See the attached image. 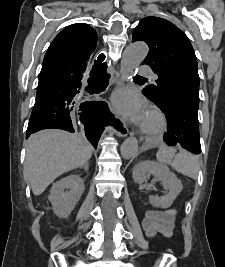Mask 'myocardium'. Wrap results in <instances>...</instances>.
<instances>
[{
    "label": "myocardium",
    "mask_w": 225,
    "mask_h": 267,
    "mask_svg": "<svg viewBox=\"0 0 225 267\" xmlns=\"http://www.w3.org/2000/svg\"><path fill=\"white\" fill-rule=\"evenodd\" d=\"M148 115L155 120L153 126L147 127L142 125L141 131L147 136H159L165 132L167 129V119L162 111L157 108H152L149 110Z\"/></svg>",
    "instance_id": "myocardium-1"
}]
</instances>
